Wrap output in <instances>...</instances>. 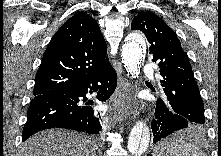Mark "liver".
I'll use <instances>...</instances> for the list:
<instances>
[{"instance_id": "obj_1", "label": "liver", "mask_w": 221, "mask_h": 156, "mask_svg": "<svg viewBox=\"0 0 221 156\" xmlns=\"http://www.w3.org/2000/svg\"><path fill=\"white\" fill-rule=\"evenodd\" d=\"M97 146L87 136L52 129L38 132L21 146L20 156H95Z\"/></svg>"}]
</instances>
